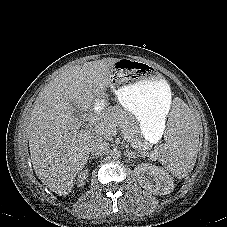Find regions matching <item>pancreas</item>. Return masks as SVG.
Masks as SVG:
<instances>
[{
  "mask_svg": "<svg viewBox=\"0 0 227 227\" xmlns=\"http://www.w3.org/2000/svg\"><path fill=\"white\" fill-rule=\"evenodd\" d=\"M99 126L109 129L111 135L117 131V127L122 129L125 138L139 150L148 149L150 144L142 142L138 124L134 118L125 110L119 108L108 109L99 123Z\"/></svg>",
  "mask_w": 227,
  "mask_h": 227,
  "instance_id": "1",
  "label": "pancreas"
}]
</instances>
